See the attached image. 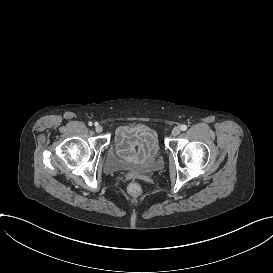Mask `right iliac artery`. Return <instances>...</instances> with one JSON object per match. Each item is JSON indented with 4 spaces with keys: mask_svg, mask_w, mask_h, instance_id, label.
Listing matches in <instances>:
<instances>
[{
    "mask_svg": "<svg viewBox=\"0 0 273 273\" xmlns=\"http://www.w3.org/2000/svg\"><path fill=\"white\" fill-rule=\"evenodd\" d=\"M88 125H89V126H92V125H93V123H92V122H89V123H88Z\"/></svg>",
    "mask_w": 273,
    "mask_h": 273,
    "instance_id": "right-iliac-artery-1",
    "label": "right iliac artery"
}]
</instances>
